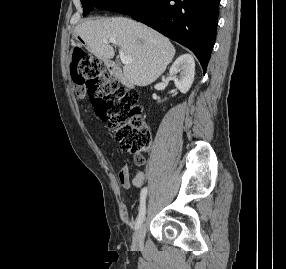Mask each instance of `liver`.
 <instances>
[{
  "instance_id": "obj_1",
  "label": "liver",
  "mask_w": 286,
  "mask_h": 269,
  "mask_svg": "<svg viewBox=\"0 0 286 269\" xmlns=\"http://www.w3.org/2000/svg\"><path fill=\"white\" fill-rule=\"evenodd\" d=\"M75 33L96 57L108 61L115 55L103 40L114 38L121 50L132 57L123 68L124 77L137 86L153 83L171 63L175 48L168 38L142 23L123 18L87 20L76 26Z\"/></svg>"
}]
</instances>
